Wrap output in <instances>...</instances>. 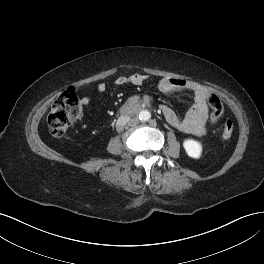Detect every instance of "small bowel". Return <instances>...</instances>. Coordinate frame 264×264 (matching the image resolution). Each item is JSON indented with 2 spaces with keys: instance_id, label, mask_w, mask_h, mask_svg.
I'll use <instances>...</instances> for the list:
<instances>
[{
  "instance_id": "c3829d8e",
  "label": "small bowel",
  "mask_w": 264,
  "mask_h": 264,
  "mask_svg": "<svg viewBox=\"0 0 264 264\" xmlns=\"http://www.w3.org/2000/svg\"><path fill=\"white\" fill-rule=\"evenodd\" d=\"M147 78V75L141 73H135L130 76H120L114 81L113 86L115 89L129 85L140 86ZM157 87L163 94H172L182 91L192 92L194 104L184 118H180L168 105H161V113L171 126L181 132L196 136H202L206 133L209 110L207 106L208 91L205 87L193 81L171 77H165L159 80ZM97 89L100 93H105L107 91V85L104 82H100L97 85ZM89 103V98L83 97L81 99L82 105L88 106Z\"/></svg>"
}]
</instances>
